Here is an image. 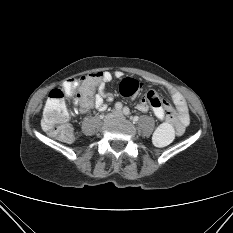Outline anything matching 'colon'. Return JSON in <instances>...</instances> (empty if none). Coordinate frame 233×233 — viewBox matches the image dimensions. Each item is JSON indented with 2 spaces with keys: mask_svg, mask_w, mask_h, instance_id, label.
<instances>
[{
  "mask_svg": "<svg viewBox=\"0 0 233 233\" xmlns=\"http://www.w3.org/2000/svg\"><path fill=\"white\" fill-rule=\"evenodd\" d=\"M101 74H90L82 78L83 88L86 94L91 95L97 88ZM140 87L137 80L132 78L124 79L120 84V92L124 96L134 95ZM153 91L147 93V97L153 96ZM42 124L44 128L54 137L63 142H71L74 137L72 125L68 122V112L64 101V94L59 89L50 91L44 112ZM175 130L170 123L161 124L154 134V143L163 147L174 139Z\"/></svg>",
  "mask_w": 233,
  "mask_h": 233,
  "instance_id": "1",
  "label": "colon"
}]
</instances>
